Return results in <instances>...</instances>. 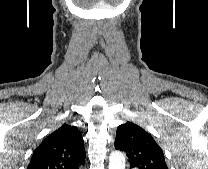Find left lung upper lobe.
Masks as SVG:
<instances>
[{"label": "left lung upper lobe", "instance_id": "obj_1", "mask_svg": "<svg viewBox=\"0 0 208 169\" xmlns=\"http://www.w3.org/2000/svg\"><path fill=\"white\" fill-rule=\"evenodd\" d=\"M115 148L126 153L131 168L168 169L160 146L149 133L132 122L117 128Z\"/></svg>", "mask_w": 208, "mask_h": 169}]
</instances>
